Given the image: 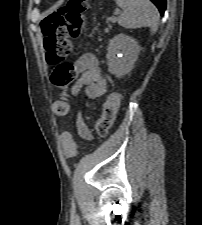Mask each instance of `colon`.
<instances>
[{"instance_id": "colon-1", "label": "colon", "mask_w": 202, "mask_h": 225, "mask_svg": "<svg viewBox=\"0 0 202 225\" xmlns=\"http://www.w3.org/2000/svg\"><path fill=\"white\" fill-rule=\"evenodd\" d=\"M86 0H69L60 9L50 14L41 23L45 46L46 63L54 68L51 76L55 87L65 90L74 77L72 65L66 60L72 51L69 36H75L84 30V14L87 10ZM122 94L111 91L107 94L101 116L95 121L94 128L100 138L108 135L121 103ZM70 103L66 93L54 102V112L66 116ZM64 152L67 158L76 154V145L70 135L62 138Z\"/></svg>"}]
</instances>
